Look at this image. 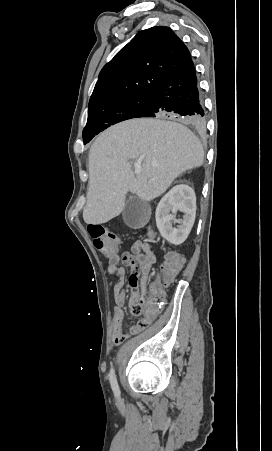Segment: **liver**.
<instances>
[{
  "mask_svg": "<svg viewBox=\"0 0 272 451\" xmlns=\"http://www.w3.org/2000/svg\"><path fill=\"white\" fill-rule=\"evenodd\" d=\"M173 120V122H170ZM142 158L135 176L130 160ZM201 142L174 116L134 118L99 134L89 152L86 224H106L125 208L128 192L144 202L164 194L182 172L199 168Z\"/></svg>",
  "mask_w": 272,
  "mask_h": 451,
  "instance_id": "6515ba94",
  "label": "liver"
}]
</instances>
